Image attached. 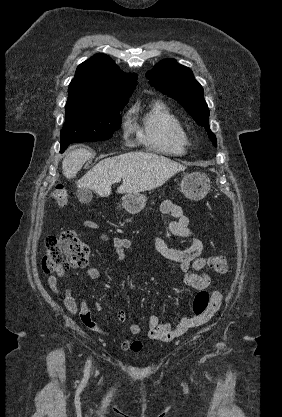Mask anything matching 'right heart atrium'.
Returning a JSON list of instances; mask_svg holds the SVG:
<instances>
[{"label":"right heart atrium","mask_w":282,"mask_h":417,"mask_svg":"<svg viewBox=\"0 0 282 417\" xmlns=\"http://www.w3.org/2000/svg\"><path fill=\"white\" fill-rule=\"evenodd\" d=\"M124 129H125V137L126 138H128L134 130V128L129 123L125 124Z\"/></svg>","instance_id":"right-heart-atrium-1"}]
</instances>
